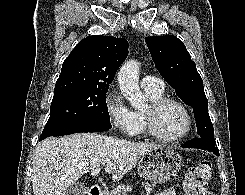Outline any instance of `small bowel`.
<instances>
[{"instance_id": "obj_1", "label": "small bowel", "mask_w": 245, "mask_h": 195, "mask_svg": "<svg viewBox=\"0 0 245 195\" xmlns=\"http://www.w3.org/2000/svg\"><path fill=\"white\" fill-rule=\"evenodd\" d=\"M156 195H175V191L172 188H167L162 192L157 193Z\"/></svg>"}]
</instances>
